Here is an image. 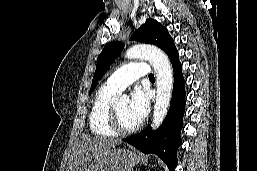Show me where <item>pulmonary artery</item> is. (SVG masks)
I'll use <instances>...</instances> for the list:
<instances>
[{
	"instance_id": "e3ab8cb5",
	"label": "pulmonary artery",
	"mask_w": 257,
	"mask_h": 171,
	"mask_svg": "<svg viewBox=\"0 0 257 171\" xmlns=\"http://www.w3.org/2000/svg\"><path fill=\"white\" fill-rule=\"evenodd\" d=\"M149 74L150 69L147 63L131 62L113 72L107 79L106 84L110 88L120 92L137 79L148 76Z\"/></svg>"
}]
</instances>
